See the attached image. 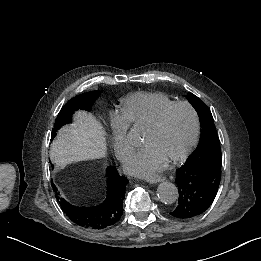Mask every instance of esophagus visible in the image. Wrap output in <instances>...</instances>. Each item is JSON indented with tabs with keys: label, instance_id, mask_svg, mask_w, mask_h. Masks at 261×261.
Returning a JSON list of instances; mask_svg holds the SVG:
<instances>
[{
	"label": "esophagus",
	"instance_id": "1",
	"mask_svg": "<svg viewBox=\"0 0 261 261\" xmlns=\"http://www.w3.org/2000/svg\"><path fill=\"white\" fill-rule=\"evenodd\" d=\"M163 177L162 176H155V177H147L146 181L149 183H158L163 181Z\"/></svg>",
	"mask_w": 261,
	"mask_h": 261
}]
</instances>
